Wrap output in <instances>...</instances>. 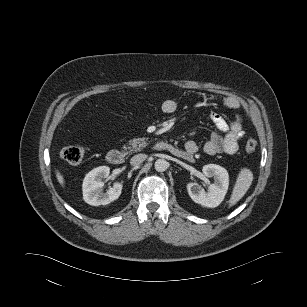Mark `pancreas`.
Listing matches in <instances>:
<instances>
[{
	"instance_id": "cf45deb5",
	"label": "pancreas",
	"mask_w": 307,
	"mask_h": 307,
	"mask_svg": "<svg viewBox=\"0 0 307 307\" xmlns=\"http://www.w3.org/2000/svg\"><path fill=\"white\" fill-rule=\"evenodd\" d=\"M146 140L147 139L145 138H134L129 141L128 147L124 146V149H129L130 151H135V152L140 151L142 150V148H144L147 145Z\"/></svg>"
}]
</instances>
